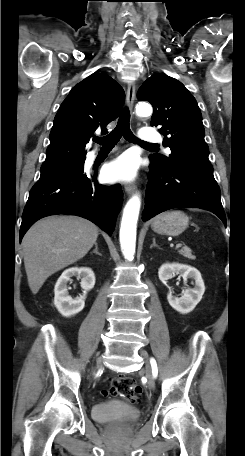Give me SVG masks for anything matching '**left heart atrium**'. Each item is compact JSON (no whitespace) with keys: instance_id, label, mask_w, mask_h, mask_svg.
Listing matches in <instances>:
<instances>
[{"instance_id":"39dd6f15","label":"left heart atrium","mask_w":245,"mask_h":456,"mask_svg":"<svg viewBox=\"0 0 245 456\" xmlns=\"http://www.w3.org/2000/svg\"><path fill=\"white\" fill-rule=\"evenodd\" d=\"M138 158L132 153H125L104 168V176L109 181H130L137 175Z\"/></svg>"}]
</instances>
